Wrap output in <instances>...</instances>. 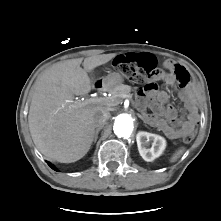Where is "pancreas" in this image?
<instances>
[{"label":"pancreas","instance_id":"1","mask_svg":"<svg viewBox=\"0 0 221 221\" xmlns=\"http://www.w3.org/2000/svg\"><path fill=\"white\" fill-rule=\"evenodd\" d=\"M132 88L128 85H119L114 90L111 91V97L109 99V102L111 103H118L121 101L123 96L128 95L129 97H132V94L130 93Z\"/></svg>","mask_w":221,"mask_h":221}]
</instances>
